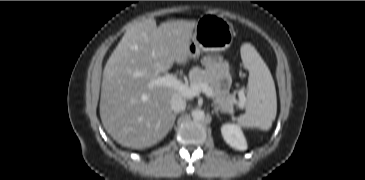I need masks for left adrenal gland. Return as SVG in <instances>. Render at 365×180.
Masks as SVG:
<instances>
[{
    "label": "left adrenal gland",
    "instance_id": "1",
    "mask_svg": "<svg viewBox=\"0 0 365 180\" xmlns=\"http://www.w3.org/2000/svg\"><path fill=\"white\" fill-rule=\"evenodd\" d=\"M214 111H215V113L218 115V113H219V111L221 112V113H224V111H222L218 106H214Z\"/></svg>",
    "mask_w": 365,
    "mask_h": 180
}]
</instances>
